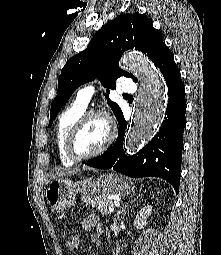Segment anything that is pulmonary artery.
<instances>
[{
  "label": "pulmonary artery",
  "instance_id": "e3ab8cb5",
  "mask_svg": "<svg viewBox=\"0 0 221 255\" xmlns=\"http://www.w3.org/2000/svg\"><path fill=\"white\" fill-rule=\"evenodd\" d=\"M118 91L126 95H132L136 93V84L125 77L118 79ZM95 93V87L93 85H86L79 89L75 95L74 103L81 106L87 107Z\"/></svg>",
  "mask_w": 221,
  "mask_h": 255
}]
</instances>
